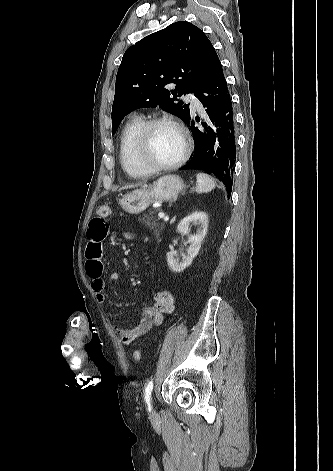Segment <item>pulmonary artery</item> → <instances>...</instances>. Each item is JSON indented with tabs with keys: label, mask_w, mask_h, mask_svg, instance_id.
Listing matches in <instances>:
<instances>
[{
	"label": "pulmonary artery",
	"mask_w": 333,
	"mask_h": 471,
	"mask_svg": "<svg viewBox=\"0 0 333 471\" xmlns=\"http://www.w3.org/2000/svg\"><path fill=\"white\" fill-rule=\"evenodd\" d=\"M188 99L191 100V104H192L193 107H195V108H200L201 107V104H200V102L198 101L197 98L190 95V96H188Z\"/></svg>",
	"instance_id": "e3ab8cb5"
}]
</instances>
